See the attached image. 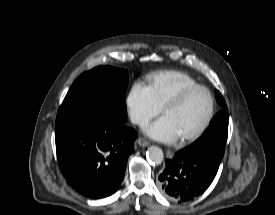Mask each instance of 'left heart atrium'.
Listing matches in <instances>:
<instances>
[{"label": "left heart atrium", "instance_id": "obj_1", "mask_svg": "<svg viewBox=\"0 0 275 215\" xmlns=\"http://www.w3.org/2000/svg\"><path fill=\"white\" fill-rule=\"evenodd\" d=\"M145 133L151 138L162 142H172L178 138L174 127L164 116L149 124L145 128Z\"/></svg>", "mask_w": 275, "mask_h": 215}]
</instances>
